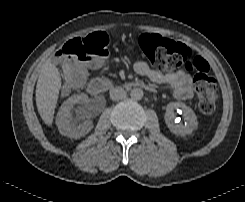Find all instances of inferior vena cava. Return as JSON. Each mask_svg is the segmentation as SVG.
Returning a JSON list of instances; mask_svg holds the SVG:
<instances>
[{"mask_svg": "<svg viewBox=\"0 0 245 202\" xmlns=\"http://www.w3.org/2000/svg\"><path fill=\"white\" fill-rule=\"evenodd\" d=\"M126 97V91L121 88V87H117V88H112L110 90V98L112 100H121L123 98Z\"/></svg>", "mask_w": 245, "mask_h": 202, "instance_id": "1", "label": "inferior vena cava"}]
</instances>
